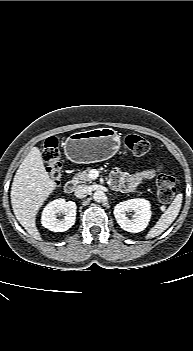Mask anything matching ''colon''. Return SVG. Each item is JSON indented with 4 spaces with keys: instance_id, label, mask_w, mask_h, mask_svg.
<instances>
[{
    "instance_id": "colon-1",
    "label": "colon",
    "mask_w": 193,
    "mask_h": 351,
    "mask_svg": "<svg viewBox=\"0 0 193 351\" xmlns=\"http://www.w3.org/2000/svg\"><path fill=\"white\" fill-rule=\"evenodd\" d=\"M125 145L136 156H144L151 149L149 141L136 134L128 135L125 138ZM42 159L48 166L50 180L53 185L57 186L62 178L57 138L50 137L46 140L42 150ZM156 189L158 197L162 202L171 201L176 193L174 178L166 173L160 174L156 180Z\"/></svg>"
}]
</instances>
